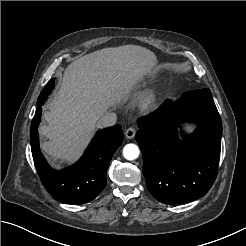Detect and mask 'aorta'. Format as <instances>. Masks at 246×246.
I'll use <instances>...</instances> for the list:
<instances>
[{
	"mask_svg": "<svg viewBox=\"0 0 246 246\" xmlns=\"http://www.w3.org/2000/svg\"><path fill=\"white\" fill-rule=\"evenodd\" d=\"M139 147L135 144H127L123 148V156L127 160H135L139 156Z\"/></svg>",
	"mask_w": 246,
	"mask_h": 246,
	"instance_id": "obj_1",
	"label": "aorta"
}]
</instances>
